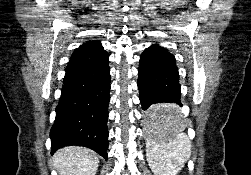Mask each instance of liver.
<instances>
[{
  "instance_id": "6515ba94",
  "label": "liver",
  "mask_w": 251,
  "mask_h": 175,
  "mask_svg": "<svg viewBox=\"0 0 251 175\" xmlns=\"http://www.w3.org/2000/svg\"><path fill=\"white\" fill-rule=\"evenodd\" d=\"M52 161L59 175H95L99 165L95 151L77 145L58 149Z\"/></svg>"
}]
</instances>
